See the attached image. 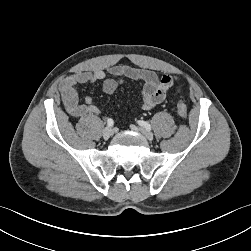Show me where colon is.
<instances>
[{
    "label": "colon",
    "instance_id": "colon-1",
    "mask_svg": "<svg viewBox=\"0 0 251 251\" xmlns=\"http://www.w3.org/2000/svg\"><path fill=\"white\" fill-rule=\"evenodd\" d=\"M177 112L181 118H187L188 111L184 102L179 101L177 104Z\"/></svg>",
    "mask_w": 251,
    "mask_h": 251
}]
</instances>
